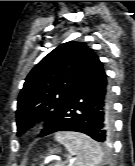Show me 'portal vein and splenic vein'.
Wrapping results in <instances>:
<instances>
[{
    "label": "portal vein and splenic vein",
    "instance_id": "portal-vein-and-splenic-vein-1",
    "mask_svg": "<svg viewBox=\"0 0 135 166\" xmlns=\"http://www.w3.org/2000/svg\"><path fill=\"white\" fill-rule=\"evenodd\" d=\"M66 162H63V163H56L54 166H63Z\"/></svg>",
    "mask_w": 135,
    "mask_h": 166
}]
</instances>
